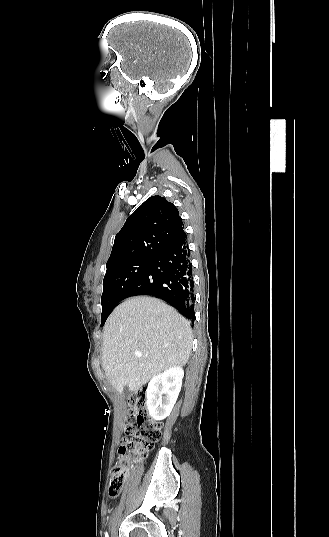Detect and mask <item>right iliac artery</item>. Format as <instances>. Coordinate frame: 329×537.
<instances>
[{
	"instance_id": "82829eb1",
	"label": "right iliac artery",
	"mask_w": 329,
	"mask_h": 537,
	"mask_svg": "<svg viewBox=\"0 0 329 537\" xmlns=\"http://www.w3.org/2000/svg\"><path fill=\"white\" fill-rule=\"evenodd\" d=\"M105 537H108V532H106Z\"/></svg>"
}]
</instances>
